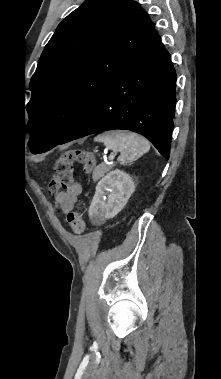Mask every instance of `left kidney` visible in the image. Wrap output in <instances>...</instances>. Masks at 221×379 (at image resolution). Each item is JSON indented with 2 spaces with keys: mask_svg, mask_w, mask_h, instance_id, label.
I'll list each match as a JSON object with an SVG mask.
<instances>
[{
  "mask_svg": "<svg viewBox=\"0 0 221 379\" xmlns=\"http://www.w3.org/2000/svg\"><path fill=\"white\" fill-rule=\"evenodd\" d=\"M134 191V181L127 173L119 169L108 173L96 186L88 211L91 222L101 224L115 217L125 207Z\"/></svg>",
  "mask_w": 221,
  "mask_h": 379,
  "instance_id": "1",
  "label": "left kidney"
}]
</instances>
